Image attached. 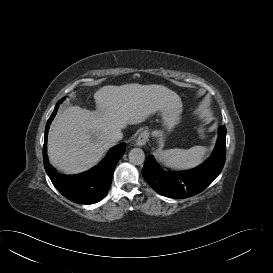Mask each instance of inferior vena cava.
Listing matches in <instances>:
<instances>
[{"label": "inferior vena cava", "instance_id": "1", "mask_svg": "<svg viewBox=\"0 0 273 273\" xmlns=\"http://www.w3.org/2000/svg\"><path fill=\"white\" fill-rule=\"evenodd\" d=\"M123 134L120 129L113 130L109 133L108 138L111 142H118L122 139Z\"/></svg>", "mask_w": 273, "mask_h": 273}]
</instances>
